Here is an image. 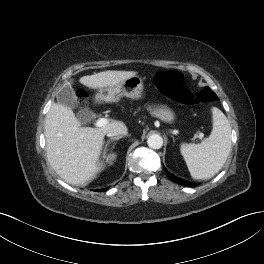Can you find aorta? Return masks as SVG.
<instances>
[{
	"mask_svg": "<svg viewBox=\"0 0 264 264\" xmlns=\"http://www.w3.org/2000/svg\"><path fill=\"white\" fill-rule=\"evenodd\" d=\"M147 144L152 149H160L163 146V138L158 134H152L148 137Z\"/></svg>",
	"mask_w": 264,
	"mask_h": 264,
	"instance_id": "762f6f07",
	"label": "aorta"
}]
</instances>
